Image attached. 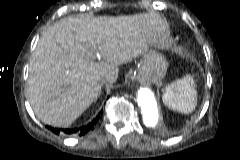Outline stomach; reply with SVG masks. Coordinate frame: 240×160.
<instances>
[{
	"label": "stomach",
	"instance_id": "0dacf381",
	"mask_svg": "<svg viewBox=\"0 0 240 160\" xmlns=\"http://www.w3.org/2000/svg\"><path fill=\"white\" fill-rule=\"evenodd\" d=\"M168 63L166 58L153 49L143 54L141 72L155 81H160L166 74Z\"/></svg>",
	"mask_w": 240,
	"mask_h": 160
}]
</instances>
